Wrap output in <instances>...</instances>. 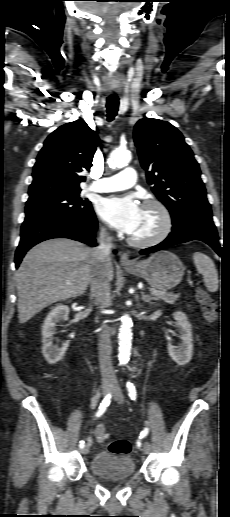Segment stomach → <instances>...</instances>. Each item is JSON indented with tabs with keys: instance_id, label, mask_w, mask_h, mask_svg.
Instances as JSON below:
<instances>
[{
	"instance_id": "stomach-1",
	"label": "stomach",
	"mask_w": 230,
	"mask_h": 517,
	"mask_svg": "<svg viewBox=\"0 0 230 517\" xmlns=\"http://www.w3.org/2000/svg\"><path fill=\"white\" fill-rule=\"evenodd\" d=\"M125 270L144 278L153 288L160 290L175 287L184 275L183 263L169 251L157 252L132 267H125Z\"/></svg>"
}]
</instances>
